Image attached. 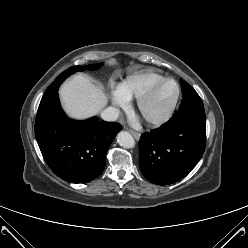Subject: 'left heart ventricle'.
<instances>
[{"label": "left heart ventricle", "instance_id": "b2bd125f", "mask_svg": "<svg viewBox=\"0 0 248 248\" xmlns=\"http://www.w3.org/2000/svg\"><path fill=\"white\" fill-rule=\"evenodd\" d=\"M176 95L173 84H165L159 87L146 102L141 115L145 118H156L167 111Z\"/></svg>", "mask_w": 248, "mask_h": 248}]
</instances>
